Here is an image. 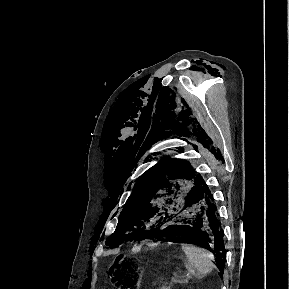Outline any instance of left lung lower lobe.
<instances>
[{
	"mask_svg": "<svg viewBox=\"0 0 289 289\" xmlns=\"http://www.w3.org/2000/svg\"><path fill=\"white\" fill-rule=\"evenodd\" d=\"M170 236L194 238L193 244L215 255L217 267L223 273L226 253L223 230L213 194L205 182L186 187L172 204L165 223L146 238Z\"/></svg>",
	"mask_w": 289,
	"mask_h": 289,
	"instance_id": "0a47b994",
	"label": "left lung lower lobe"
}]
</instances>
